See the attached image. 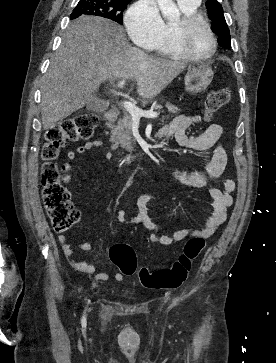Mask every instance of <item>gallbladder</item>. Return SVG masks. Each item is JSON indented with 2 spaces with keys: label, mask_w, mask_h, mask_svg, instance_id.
<instances>
[{
  "label": "gallbladder",
  "mask_w": 276,
  "mask_h": 363,
  "mask_svg": "<svg viewBox=\"0 0 276 363\" xmlns=\"http://www.w3.org/2000/svg\"><path fill=\"white\" fill-rule=\"evenodd\" d=\"M105 101L99 97L93 96L86 104V110L92 112H101L105 109Z\"/></svg>",
  "instance_id": "gallbladder-1"
}]
</instances>
